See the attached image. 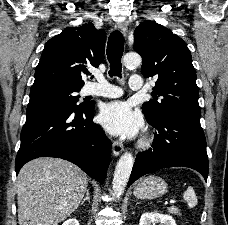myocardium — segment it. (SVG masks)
Instances as JSON below:
<instances>
[{"instance_id": "myocardium-1", "label": "myocardium", "mask_w": 228, "mask_h": 225, "mask_svg": "<svg viewBox=\"0 0 228 225\" xmlns=\"http://www.w3.org/2000/svg\"><path fill=\"white\" fill-rule=\"evenodd\" d=\"M149 144H150V141L147 140V139H144V140H142V141L140 142V145H141L142 147H147V146H149Z\"/></svg>"}]
</instances>
